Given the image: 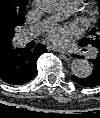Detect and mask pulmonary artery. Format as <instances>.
<instances>
[{"label": "pulmonary artery", "instance_id": "obj_1", "mask_svg": "<svg viewBox=\"0 0 100 118\" xmlns=\"http://www.w3.org/2000/svg\"><path fill=\"white\" fill-rule=\"evenodd\" d=\"M78 4H79V1L77 0H62L63 9L61 13L57 15V18L67 15L68 13L74 11L76 7L78 6ZM41 29H42L41 24L27 28L23 34V39L25 41L32 40L40 33ZM95 52L96 51L92 49L90 52L91 56H94Z\"/></svg>", "mask_w": 100, "mask_h": 118}]
</instances>
